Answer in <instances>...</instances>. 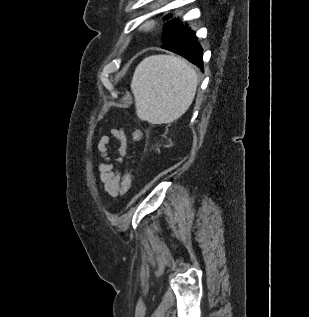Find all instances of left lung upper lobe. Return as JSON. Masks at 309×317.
I'll use <instances>...</instances> for the list:
<instances>
[{
	"mask_svg": "<svg viewBox=\"0 0 309 317\" xmlns=\"http://www.w3.org/2000/svg\"><path fill=\"white\" fill-rule=\"evenodd\" d=\"M172 18V15L169 14L165 17V20ZM187 25H184L179 19H172L165 23L164 25V32L162 35V42L166 43L181 33Z\"/></svg>",
	"mask_w": 309,
	"mask_h": 317,
	"instance_id": "1",
	"label": "left lung upper lobe"
}]
</instances>
